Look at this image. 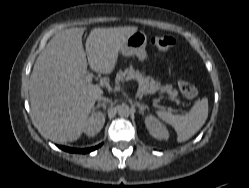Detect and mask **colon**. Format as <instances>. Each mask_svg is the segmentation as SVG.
<instances>
[{"mask_svg":"<svg viewBox=\"0 0 249 188\" xmlns=\"http://www.w3.org/2000/svg\"><path fill=\"white\" fill-rule=\"evenodd\" d=\"M152 45L162 51H169L175 46L174 38L170 36L157 35L151 39ZM179 89L181 93L188 99H195L198 96V91L194 85L186 80H179Z\"/></svg>","mask_w":249,"mask_h":188,"instance_id":"obj_1","label":"colon"}]
</instances>
